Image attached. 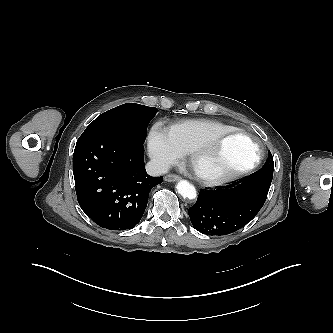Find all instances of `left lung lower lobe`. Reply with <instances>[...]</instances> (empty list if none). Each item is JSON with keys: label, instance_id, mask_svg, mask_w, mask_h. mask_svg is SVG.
Masks as SVG:
<instances>
[{"label": "left lung lower lobe", "instance_id": "left-lung-lower-lobe-1", "mask_svg": "<svg viewBox=\"0 0 333 333\" xmlns=\"http://www.w3.org/2000/svg\"><path fill=\"white\" fill-rule=\"evenodd\" d=\"M273 170L257 172L216 190L200 191L189 208L194 228L206 235H226L249 223L264 205Z\"/></svg>", "mask_w": 333, "mask_h": 333}]
</instances>
